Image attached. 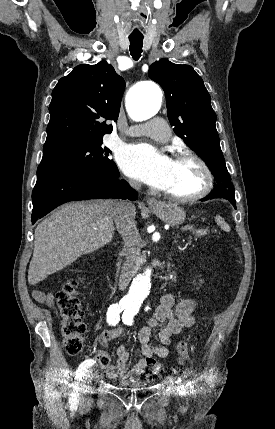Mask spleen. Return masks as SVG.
I'll use <instances>...</instances> for the list:
<instances>
[{"label": "spleen", "mask_w": 275, "mask_h": 429, "mask_svg": "<svg viewBox=\"0 0 275 429\" xmlns=\"http://www.w3.org/2000/svg\"><path fill=\"white\" fill-rule=\"evenodd\" d=\"M215 221L224 231L229 232L231 230L230 226L225 222L222 217L216 216Z\"/></svg>", "instance_id": "3e777b00"}]
</instances>
